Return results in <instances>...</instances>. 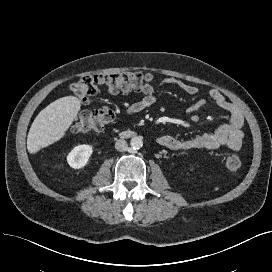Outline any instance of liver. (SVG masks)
<instances>
[{"label":"liver","instance_id":"liver-1","mask_svg":"<svg viewBox=\"0 0 272 272\" xmlns=\"http://www.w3.org/2000/svg\"><path fill=\"white\" fill-rule=\"evenodd\" d=\"M81 109V100L66 96L45 107L33 121L27 137V149L36 153L60 140L76 119Z\"/></svg>","mask_w":272,"mask_h":272}]
</instances>
